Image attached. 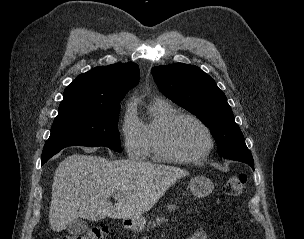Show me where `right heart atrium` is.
<instances>
[{
  "mask_svg": "<svg viewBox=\"0 0 304 239\" xmlns=\"http://www.w3.org/2000/svg\"><path fill=\"white\" fill-rule=\"evenodd\" d=\"M120 134L128 156L142 158L145 154L142 127L131 106L126 108L122 116Z\"/></svg>",
  "mask_w": 304,
  "mask_h": 239,
  "instance_id": "d8ad5b80",
  "label": "right heart atrium"
}]
</instances>
